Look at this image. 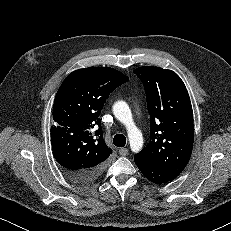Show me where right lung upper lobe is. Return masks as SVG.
Masks as SVG:
<instances>
[{
	"label": "right lung upper lobe",
	"instance_id": "1",
	"mask_svg": "<svg viewBox=\"0 0 231 231\" xmlns=\"http://www.w3.org/2000/svg\"><path fill=\"white\" fill-rule=\"evenodd\" d=\"M128 81L110 67H88L70 73L53 104L51 145L64 170L89 171L103 167L112 150L106 145L99 118L109 94ZM99 127L94 133L93 128Z\"/></svg>",
	"mask_w": 231,
	"mask_h": 231
}]
</instances>
